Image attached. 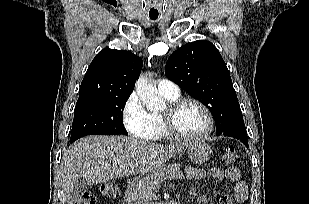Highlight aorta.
<instances>
[{"instance_id":"obj_1","label":"aorta","mask_w":309,"mask_h":204,"mask_svg":"<svg viewBox=\"0 0 309 204\" xmlns=\"http://www.w3.org/2000/svg\"><path fill=\"white\" fill-rule=\"evenodd\" d=\"M135 89L139 99L148 110L160 111L165 107V102L159 97L157 88L149 83L145 75L139 76Z\"/></svg>"}]
</instances>
